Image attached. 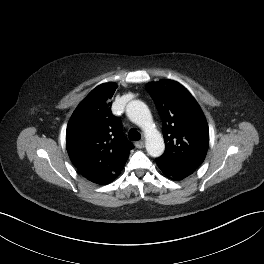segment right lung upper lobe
Wrapping results in <instances>:
<instances>
[{"label": "right lung upper lobe", "mask_w": 264, "mask_h": 264, "mask_svg": "<svg viewBox=\"0 0 264 264\" xmlns=\"http://www.w3.org/2000/svg\"><path fill=\"white\" fill-rule=\"evenodd\" d=\"M115 83L93 89L72 114L66 131L69 157L78 170L121 171L134 148L122 134V124L111 112Z\"/></svg>", "instance_id": "1"}]
</instances>
